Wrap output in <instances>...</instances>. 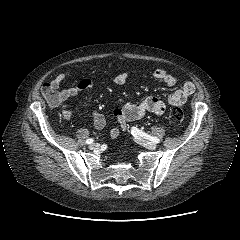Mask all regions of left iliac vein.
<instances>
[{"instance_id":"1","label":"left iliac vein","mask_w":240,"mask_h":240,"mask_svg":"<svg viewBox=\"0 0 240 240\" xmlns=\"http://www.w3.org/2000/svg\"><path fill=\"white\" fill-rule=\"evenodd\" d=\"M137 142L140 143L141 145H143L144 147L148 148V149H155L157 147L156 143L153 142V141H148V140H145L143 138H140V137H135Z\"/></svg>"}]
</instances>
